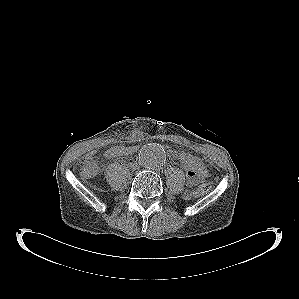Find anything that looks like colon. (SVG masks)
Segmentation results:
<instances>
[{"instance_id": "1", "label": "colon", "mask_w": 299, "mask_h": 299, "mask_svg": "<svg viewBox=\"0 0 299 299\" xmlns=\"http://www.w3.org/2000/svg\"><path fill=\"white\" fill-rule=\"evenodd\" d=\"M177 156L185 169L190 168L197 170L200 169L202 166L200 159L196 155L186 150H183L180 147ZM79 167L81 173L85 177H93L97 173V165L92 156L90 155H87L81 159ZM210 188L211 185L209 183H202L195 189V191L193 192V196L204 195L210 190Z\"/></svg>"}]
</instances>
